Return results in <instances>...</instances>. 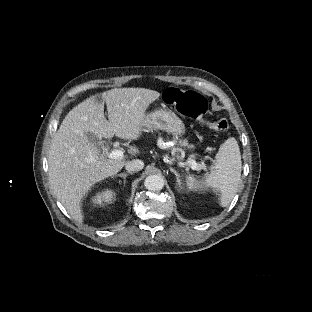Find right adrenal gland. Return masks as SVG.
Listing matches in <instances>:
<instances>
[{"instance_id":"1","label":"right adrenal gland","mask_w":312,"mask_h":312,"mask_svg":"<svg viewBox=\"0 0 312 312\" xmlns=\"http://www.w3.org/2000/svg\"><path fill=\"white\" fill-rule=\"evenodd\" d=\"M131 173H125V174H121V175H119V176H117V178H122L123 179V182H122V185L123 186H125V180H126V177L128 176V175H130Z\"/></svg>"}]
</instances>
